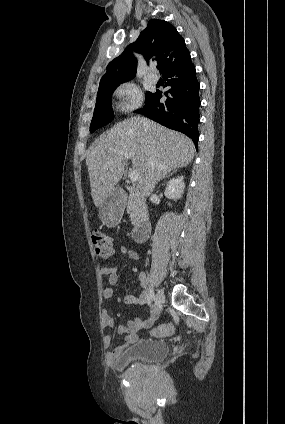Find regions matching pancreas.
<instances>
[{"label":"pancreas","mask_w":285,"mask_h":424,"mask_svg":"<svg viewBox=\"0 0 285 424\" xmlns=\"http://www.w3.org/2000/svg\"><path fill=\"white\" fill-rule=\"evenodd\" d=\"M145 199L136 191L131 190L127 211L130 214L132 225H136L146 213Z\"/></svg>","instance_id":"cf45deb5"}]
</instances>
